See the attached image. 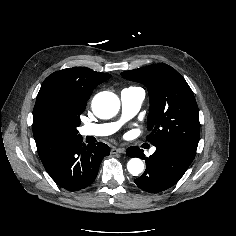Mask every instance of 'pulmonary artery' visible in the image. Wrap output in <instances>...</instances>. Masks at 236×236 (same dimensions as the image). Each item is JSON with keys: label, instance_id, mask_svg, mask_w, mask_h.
<instances>
[{"label": "pulmonary artery", "instance_id": "e3ab8cb5", "mask_svg": "<svg viewBox=\"0 0 236 236\" xmlns=\"http://www.w3.org/2000/svg\"><path fill=\"white\" fill-rule=\"evenodd\" d=\"M122 104V118L118 122L103 124H85L80 127L79 132L82 136H107L116 132L121 124L132 118L141 108L145 98V92L139 87L124 89L120 95ZM155 148L151 149L153 153Z\"/></svg>", "mask_w": 236, "mask_h": 236}]
</instances>
